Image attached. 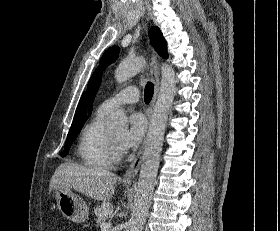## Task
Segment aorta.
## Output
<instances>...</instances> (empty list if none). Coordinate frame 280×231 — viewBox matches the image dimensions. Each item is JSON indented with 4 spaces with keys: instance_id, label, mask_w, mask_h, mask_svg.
<instances>
[{
    "instance_id": "762f6f07",
    "label": "aorta",
    "mask_w": 280,
    "mask_h": 231,
    "mask_svg": "<svg viewBox=\"0 0 280 231\" xmlns=\"http://www.w3.org/2000/svg\"><path fill=\"white\" fill-rule=\"evenodd\" d=\"M145 64V58L124 60V62H121L115 70L116 82L122 84V82L130 80V78H133V76H136V74L141 72ZM175 92V72L171 66L162 64L158 98L146 135L141 169L134 199V207L129 221L130 231H142L145 217L151 205L161 149L164 141V133L170 108L175 98ZM106 123L110 129L117 131V133H122V131L128 129V117L124 110H117V112L111 114V116L107 117Z\"/></svg>"
}]
</instances>
